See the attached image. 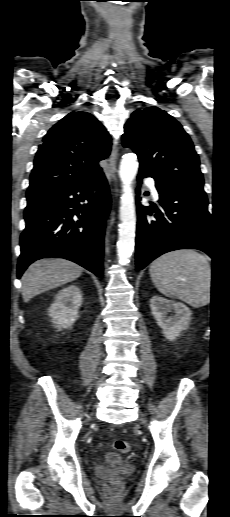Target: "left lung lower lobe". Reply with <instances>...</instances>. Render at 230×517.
Segmentation results:
<instances>
[{"label": "left lung lower lobe", "mask_w": 230, "mask_h": 517, "mask_svg": "<svg viewBox=\"0 0 230 517\" xmlns=\"http://www.w3.org/2000/svg\"><path fill=\"white\" fill-rule=\"evenodd\" d=\"M144 177L153 176L139 171V183ZM154 179L163 212L137 202V270L143 269L158 256L178 249H198L213 258L210 214L203 188L179 187L166 180ZM136 192L141 193L139 188ZM140 199L137 197L138 201Z\"/></svg>", "instance_id": "obj_1"}]
</instances>
